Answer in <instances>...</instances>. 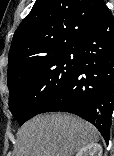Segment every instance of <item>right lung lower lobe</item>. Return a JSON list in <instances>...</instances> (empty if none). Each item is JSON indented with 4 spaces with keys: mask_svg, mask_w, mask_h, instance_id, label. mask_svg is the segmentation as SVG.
<instances>
[{
    "mask_svg": "<svg viewBox=\"0 0 114 156\" xmlns=\"http://www.w3.org/2000/svg\"><path fill=\"white\" fill-rule=\"evenodd\" d=\"M76 48L80 61L74 76L41 113H74L92 123L108 143L114 109V17L109 10Z\"/></svg>",
    "mask_w": 114,
    "mask_h": 156,
    "instance_id": "right-lung-lower-lobe-1",
    "label": "right lung lower lobe"
}]
</instances>
